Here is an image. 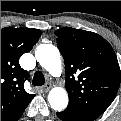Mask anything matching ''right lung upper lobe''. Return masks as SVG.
Wrapping results in <instances>:
<instances>
[{
  "label": "right lung upper lobe",
  "mask_w": 121,
  "mask_h": 121,
  "mask_svg": "<svg viewBox=\"0 0 121 121\" xmlns=\"http://www.w3.org/2000/svg\"><path fill=\"white\" fill-rule=\"evenodd\" d=\"M41 33L31 28L1 29V121H13L34 97L24 89L28 72L20 67L19 58L32 49Z\"/></svg>",
  "instance_id": "cb5924a9"
}]
</instances>
